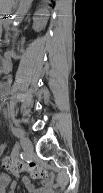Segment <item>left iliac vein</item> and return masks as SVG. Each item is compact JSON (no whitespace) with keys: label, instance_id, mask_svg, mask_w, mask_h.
I'll list each match as a JSON object with an SVG mask.
<instances>
[{"label":"left iliac vein","instance_id":"obj_1","mask_svg":"<svg viewBox=\"0 0 103 193\" xmlns=\"http://www.w3.org/2000/svg\"><path fill=\"white\" fill-rule=\"evenodd\" d=\"M20 141L24 152L26 154H31L33 152V145L31 140L26 136H22Z\"/></svg>","mask_w":103,"mask_h":193}]
</instances>
